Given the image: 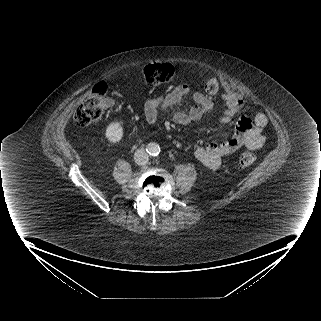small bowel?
I'll list each match as a JSON object with an SVG mask.
<instances>
[{"label":"small bowel","mask_w":321,"mask_h":321,"mask_svg":"<svg viewBox=\"0 0 321 321\" xmlns=\"http://www.w3.org/2000/svg\"><path fill=\"white\" fill-rule=\"evenodd\" d=\"M189 96L193 106L189 111H178L173 114V121L179 125H186L200 120L204 114L213 108L212 99L201 91H192L188 85H179L163 96H148L144 104V117L148 123L156 122L161 111L168 110ZM221 101L224 110L220 121L230 123L237 119L234 134L225 141H211L198 146L194 151L195 158L210 169H217L224 156L233 153L241 147L251 150L261 148L265 143L263 130L267 124L263 112L247 108L242 99L234 93H222ZM111 106L113 101L106 100ZM246 110L247 113L240 117L239 114Z\"/></svg>","instance_id":"1"}]
</instances>
